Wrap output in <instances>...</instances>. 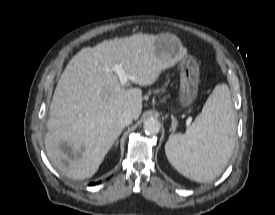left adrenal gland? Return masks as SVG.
<instances>
[{
    "label": "left adrenal gland",
    "mask_w": 275,
    "mask_h": 215,
    "mask_svg": "<svg viewBox=\"0 0 275 215\" xmlns=\"http://www.w3.org/2000/svg\"><path fill=\"white\" fill-rule=\"evenodd\" d=\"M171 119H172V126H171L170 130L172 131V134H173L177 127L178 122H177V119L173 115H171Z\"/></svg>",
    "instance_id": "obj_1"
}]
</instances>
